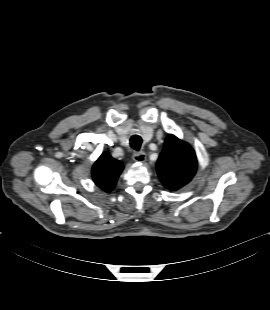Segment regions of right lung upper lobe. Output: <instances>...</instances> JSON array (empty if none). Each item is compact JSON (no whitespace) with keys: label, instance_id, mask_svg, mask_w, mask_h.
Returning <instances> with one entry per match:
<instances>
[{"label":"right lung upper lobe","instance_id":"1","mask_svg":"<svg viewBox=\"0 0 270 310\" xmlns=\"http://www.w3.org/2000/svg\"><path fill=\"white\" fill-rule=\"evenodd\" d=\"M122 170V163L112 158L109 153L104 152L92 167L94 183L102 190L110 192Z\"/></svg>","mask_w":270,"mask_h":310}]
</instances>
